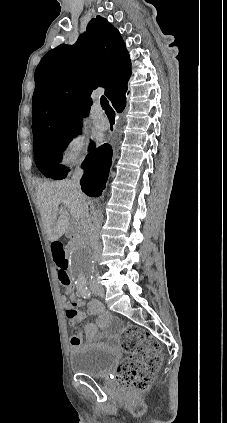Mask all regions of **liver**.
Here are the masks:
<instances>
[{
    "instance_id": "6515ba94",
    "label": "liver",
    "mask_w": 227,
    "mask_h": 423,
    "mask_svg": "<svg viewBox=\"0 0 227 423\" xmlns=\"http://www.w3.org/2000/svg\"><path fill=\"white\" fill-rule=\"evenodd\" d=\"M36 200L49 241L59 239L63 233H70L72 227L67 208L78 211L79 223H90V219L85 217L83 206L87 196L79 192L72 180L39 184L36 188Z\"/></svg>"
}]
</instances>
